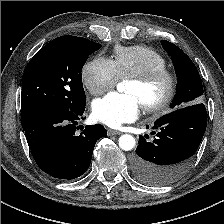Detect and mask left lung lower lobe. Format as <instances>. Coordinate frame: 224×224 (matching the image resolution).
<instances>
[{
    "label": "left lung lower lobe",
    "mask_w": 224,
    "mask_h": 224,
    "mask_svg": "<svg viewBox=\"0 0 224 224\" xmlns=\"http://www.w3.org/2000/svg\"><path fill=\"white\" fill-rule=\"evenodd\" d=\"M207 125L203 103L179 108L155 123L153 141L139 136L132 159L135 177L144 184L163 186L181 177L197 151ZM146 137V136H145ZM147 138V137H146Z\"/></svg>",
    "instance_id": "left-lung-lower-lobe-1"
}]
</instances>
